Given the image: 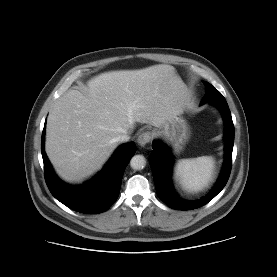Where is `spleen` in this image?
Instances as JSON below:
<instances>
[{"instance_id":"spleen-1","label":"spleen","mask_w":277,"mask_h":277,"mask_svg":"<svg viewBox=\"0 0 277 277\" xmlns=\"http://www.w3.org/2000/svg\"><path fill=\"white\" fill-rule=\"evenodd\" d=\"M215 162L211 156L181 159L176 164V178L182 188L198 192L212 180Z\"/></svg>"}]
</instances>
